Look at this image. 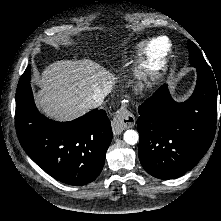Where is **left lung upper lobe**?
<instances>
[{
    "instance_id": "5c2ea615",
    "label": "left lung upper lobe",
    "mask_w": 221,
    "mask_h": 221,
    "mask_svg": "<svg viewBox=\"0 0 221 221\" xmlns=\"http://www.w3.org/2000/svg\"><path fill=\"white\" fill-rule=\"evenodd\" d=\"M188 48L190 54L189 60L192 66L195 68L210 69V66L207 64L198 47L190 40L188 41Z\"/></svg>"
}]
</instances>
